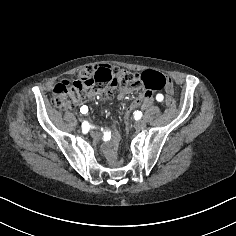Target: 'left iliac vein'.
<instances>
[{
  "mask_svg": "<svg viewBox=\"0 0 236 236\" xmlns=\"http://www.w3.org/2000/svg\"><path fill=\"white\" fill-rule=\"evenodd\" d=\"M134 128H135V130H137V131H142V130H144V128H145V123H144V121H142V120H137V121H135V123H134Z\"/></svg>",
  "mask_w": 236,
  "mask_h": 236,
  "instance_id": "1",
  "label": "left iliac vein"
}]
</instances>
